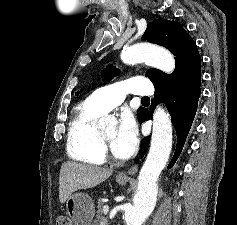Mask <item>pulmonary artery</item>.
<instances>
[{
	"mask_svg": "<svg viewBox=\"0 0 237 225\" xmlns=\"http://www.w3.org/2000/svg\"><path fill=\"white\" fill-rule=\"evenodd\" d=\"M153 91V86L146 78L132 77L98 88L90 95L89 99L95 107L106 113L120 105L129 93L152 95Z\"/></svg>",
	"mask_w": 237,
	"mask_h": 225,
	"instance_id": "obj_1",
	"label": "pulmonary artery"
}]
</instances>
